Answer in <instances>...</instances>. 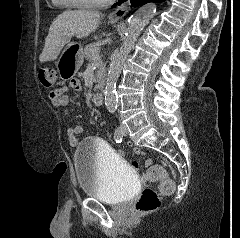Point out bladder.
<instances>
[{
	"label": "bladder",
	"mask_w": 240,
	"mask_h": 238,
	"mask_svg": "<svg viewBox=\"0 0 240 238\" xmlns=\"http://www.w3.org/2000/svg\"><path fill=\"white\" fill-rule=\"evenodd\" d=\"M73 162L80 189L101 202L124 203L138 188L134 170L100 139L83 140L74 152Z\"/></svg>",
	"instance_id": "obj_1"
}]
</instances>
